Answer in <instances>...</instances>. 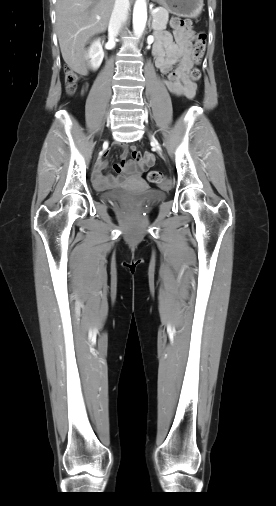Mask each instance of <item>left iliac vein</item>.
I'll return each mask as SVG.
<instances>
[{
    "mask_svg": "<svg viewBox=\"0 0 276 506\" xmlns=\"http://www.w3.org/2000/svg\"><path fill=\"white\" fill-rule=\"evenodd\" d=\"M151 139H152V142L154 143V145L156 146V148L158 150H161L160 145H159L158 141L154 138V136H151Z\"/></svg>",
    "mask_w": 276,
    "mask_h": 506,
    "instance_id": "left-iliac-vein-1",
    "label": "left iliac vein"
}]
</instances>
